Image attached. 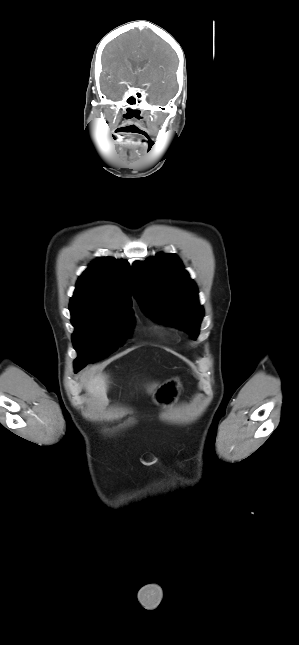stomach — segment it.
Instances as JSON below:
<instances>
[{
	"instance_id": "0dacf381",
	"label": "stomach",
	"mask_w": 299,
	"mask_h": 645,
	"mask_svg": "<svg viewBox=\"0 0 299 645\" xmlns=\"http://www.w3.org/2000/svg\"><path fill=\"white\" fill-rule=\"evenodd\" d=\"M182 385L177 378L166 381L160 385L153 394V402L159 406L175 403L180 395Z\"/></svg>"
}]
</instances>
